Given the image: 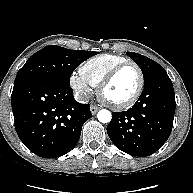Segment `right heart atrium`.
<instances>
[{"instance_id": "d8ad5b80", "label": "right heart atrium", "mask_w": 193, "mask_h": 193, "mask_svg": "<svg viewBox=\"0 0 193 193\" xmlns=\"http://www.w3.org/2000/svg\"><path fill=\"white\" fill-rule=\"evenodd\" d=\"M69 83L80 100L87 101L90 98L92 94L91 85L81 76L80 73H71Z\"/></svg>"}]
</instances>
